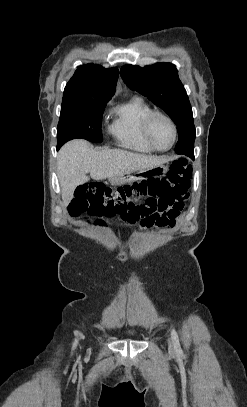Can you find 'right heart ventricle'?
<instances>
[{
    "label": "right heart ventricle",
    "instance_id": "right-heart-ventricle-1",
    "mask_svg": "<svg viewBox=\"0 0 247 407\" xmlns=\"http://www.w3.org/2000/svg\"><path fill=\"white\" fill-rule=\"evenodd\" d=\"M151 111L152 108L140 98H134L111 110L112 121L108 129L119 146L142 154L154 152L142 132L143 120Z\"/></svg>",
    "mask_w": 247,
    "mask_h": 407
}]
</instances>
